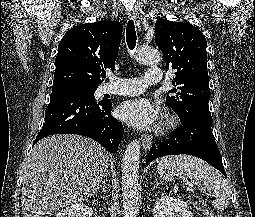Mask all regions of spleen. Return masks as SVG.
Instances as JSON below:
<instances>
[{
  "instance_id": "1",
  "label": "spleen",
  "mask_w": 255,
  "mask_h": 217,
  "mask_svg": "<svg viewBox=\"0 0 255 217\" xmlns=\"http://www.w3.org/2000/svg\"><path fill=\"white\" fill-rule=\"evenodd\" d=\"M157 170L166 181H173L177 173L185 176L192 184L207 188L215 197L212 206L216 209H224L229 205L231 191L226 180L199 158L189 155L167 156L158 162Z\"/></svg>"
}]
</instances>
